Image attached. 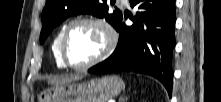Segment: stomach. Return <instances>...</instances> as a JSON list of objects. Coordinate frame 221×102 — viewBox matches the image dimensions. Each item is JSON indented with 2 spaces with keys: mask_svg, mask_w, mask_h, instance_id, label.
I'll use <instances>...</instances> for the list:
<instances>
[{
  "mask_svg": "<svg viewBox=\"0 0 221 102\" xmlns=\"http://www.w3.org/2000/svg\"><path fill=\"white\" fill-rule=\"evenodd\" d=\"M124 88L118 76H105L83 83H66L41 92L38 102H107Z\"/></svg>",
  "mask_w": 221,
  "mask_h": 102,
  "instance_id": "0dacf381",
  "label": "stomach"
}]
</instances>
